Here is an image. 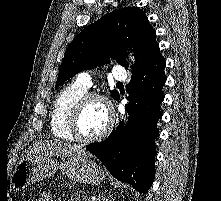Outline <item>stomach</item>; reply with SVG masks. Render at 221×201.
I'll list each match as a JSON object with an SVG mask.
<instances>
[{
    "instance_id": "0dacf381",
    "label": "stomach",
    "mask_w": 221,
    "mask_h": 201,
    "mask_svg": "<svg viewBox=\"0 0 221 201\" xmlns=\"http://www.w3.org/2000/svg\"><path fill=\"white\" fill-rule=\"evenodd\" d=\"M60 169L71 180L97 185L104 179L102 169L88 155H72L58 161L49 155H31L22 158L11 175L13 188L22 189L55 174Z\"/></svg>"
}]
</instances>
